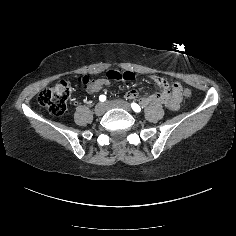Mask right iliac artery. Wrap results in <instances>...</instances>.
<instances>
[{
	"label": "right iliac artery",
	"instance_id": "82829eb1",
	"mask_svg": "<svg viewBox=\"0 0 236 236\" xmlns=\"http://www.w3.org/2000/svg\"><path fill=\"white\" fill-rule=\"evenodd\" d=\"M99 100H100L101 102L106 101V96H105V95H100V96H99Z\"/></svg>",
	"mask_w": 236,
	"mask_h": 236
}]
</instances>
